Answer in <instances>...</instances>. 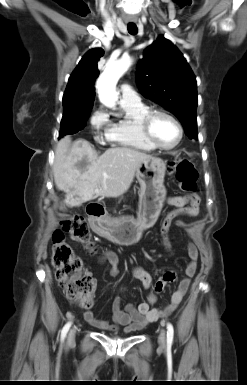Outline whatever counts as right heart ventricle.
I'll return each mask as SVG.
<instances>
[{"mask_svg": "<svg viewBox=\"0 0 247 385\" xmlns=\"http://www.w3.org/2000/svg\"><path fill=\"white\" fill-rule=\"evenodd\" d=\"M124 116L112 123L107 131V139L117 146L132 148L144 152L154 151L153 147L144 137L140 121L142 117L150 110L143 103L123 104L121 103Z\"/></svg>", "mask_w": 247, "mask_h": 385, "instance_id": "obj_1", "label": "right heart ventricle"}]
</instances>
